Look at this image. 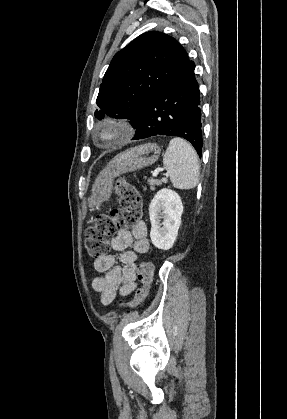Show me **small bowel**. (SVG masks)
Returning a JSON list of instances; mask_svg holds the SVG:
<instances>
[{
    "instance_id": "small-bowel-1",
    "label": "small bowel",
    "mask_w": 287,
    "mask_h": 419,
    "mask_svg": "<svg viewBox=\"0 0 287 419\" xmlns=\"http://www.w3.org/2000/svg\"><path fill=\"white\" fill-rule=\"evenodd\" d=\"M111 247L120 253L121 265H116L115 256L106 255L95 261L99 273L93 279L94 290L101 294L104 305L112 303L117 294L127 296L136 288L137 260L149 250L148 229L145 222H138L131 230L122 229L111 240Z\"/></svg>"
}]
</instances>
